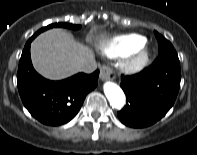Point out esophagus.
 Masks as SVG:
<instances>
[{
	"instance_id": "1",
	"label": "esophagus",
	"mask_w": 197,
	"mask_h": 155,
	"mask_svg": "<svg viewBox=\"0 0 197 155\" xmlns=\"http://www.w3.org/2000/svg\"><path fill=\"white\" fill-rule=\"evenodd\" d=\"M116 76V72L109 66H102L100 68V79L102 81L113 80Z\"/></svg>"
}]
</instances>
